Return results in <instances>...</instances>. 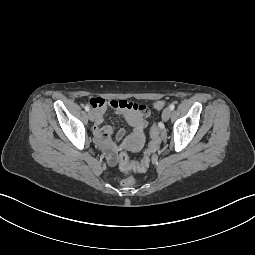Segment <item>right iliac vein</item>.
Here are the masks:
<instances>
[{
	"label": "right iliac vein",
	"mask_w": 255,
	"mask_h": 255,
	"mask_svg": "<svg viewBox=\"0 0 255 255\" xmlns=\"http://www.w3.org/2000/svg\"><path fill=\"white\" fill-rule=\"evenodd\" d=\"M88 117H89V120H90V121H92V122L94 121V119H95V113H94L93 110H90V111H89Z\"/></svg>",
	"instance_id": "obj_1"
}]
</instances>
